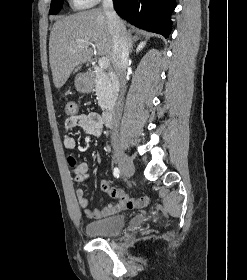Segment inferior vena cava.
Returning a JSON list of instances; mask_svg holds the SVG:
<instances>
[{"mask_svg":"<svg viewBox=\"0 0 247 280\" xmlns=\"http://www.w3.org/2000/svg\"><path fill=\"white\" fill-rule=\"evenodd\" d=\"M102 8L107 17L108 27L113 38L112 63L120 82V94L123 95L126 85V66L129 57V34L126 31L124 23L114 10L112 0H103ZM116 135L117 130L115 129L112 135V142H116Z\"/></svg>","mask_w":247,"mask_h":280,"instance_id":"obj_1","label":"inferior vena cava"}]
</instances>
